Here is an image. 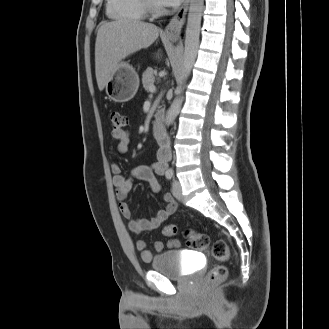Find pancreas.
I'll return each mask as SVG.
<instances>
[{
    "label": "pancreas",
    "mask_w": 329,
    "mask_h": 329,
    "mask_svg": "<svg viewBox=\"0 0 329 329\" xmlns=\"http://www.w3.org/2000/svg\"><path fill=\"white\" fill-rule=\"evenodd\" d=\"M155 71L152 68H147L142 75V84L145 90H149V87L154 84Z\"/></svg>",
    "instance_id": "obj_1"
}]
</instances>
